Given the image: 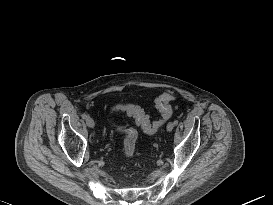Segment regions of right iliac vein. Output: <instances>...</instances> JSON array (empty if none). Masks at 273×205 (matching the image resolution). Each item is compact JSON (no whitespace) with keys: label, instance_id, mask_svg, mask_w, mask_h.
<instances>
[{"label":"right iliac vein","instance_id":"right-iliac-vein-1","mask_svg":"<svg viewBox=\"0 0 273 205\" xmlns=\"http://www.w3.org/2000/svg\"><path fill=\"white\" fill-rule=\"evenodd\" d=\"M86 124H87V126L89 128H94V126H95V122H94V120L91 117H88L86 119Z\"/></svg>","mask_w":273,"mask_h":205}]
</instances>
